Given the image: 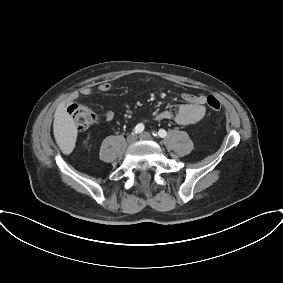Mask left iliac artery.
<instances>
[{
    "label": "left iliac artery",
    "instance_id": "left-iliac-artery-1",
    "mask_svg": "<svg viewBox=\"0 0 283 283\" xmlns=\"http://www.w3.org/2000/svg\"><path fill=\"white\" fill-rule=\"evenodd\" d=\"M154 136H159L160 138H165L167 136V132L164 129H160L158 133H153Z\"/></svg>",
    "mask_w": 283,
    "mask_h": 283
}]
</instances>
